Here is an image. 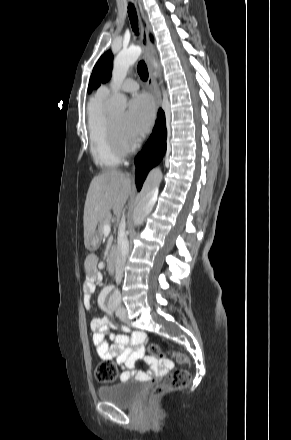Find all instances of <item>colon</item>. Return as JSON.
<instances>
[{
	"mask_svg": "<svg viewBox=\"0 0 291 440\" xmlns=\"http://www.w3.org/2000/svg\"><path fill=\"white\" fill-rule=\"evenodd\" d=\"M179 364H188V357L180 352H171ZM149 357H164L165 353L157 344H151L148 348ZM95 376L99 382H112L117 377V369L112 361H105L95 369ZM191 381V373L186 369L175 370L160 385L150 392V400L153 402L165 393L178 391L186 387Z\"/></svg>",
	"mask_w": 291,
	"mask_h": 440,
	"instance_id": "1",
	"label": "colon"
}]
</instances>
